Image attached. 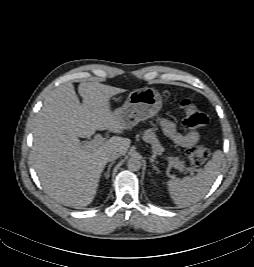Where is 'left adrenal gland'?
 <instances>
[{"mask_svg":"<svg viewBox=\"0 0 254 267\" xmlns=\"http://www.w3.org/2000/svg\"><path fill=\"white\" fill-rule=\"evenodd\" d=\"M152 166L157 172H159V169L155 166V164H152Z\"/></svg>","mask_w":254,"mask_h":267,"instance_id":"obj_1","label":"left adrenal gland"}]
</instances>
